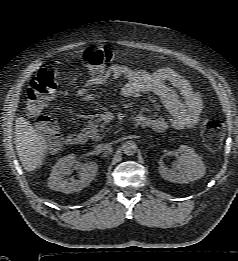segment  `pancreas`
Returning a JSON list of instances; mask_svg holds the SVG:
<instances>
[{
  "mask_svg": "<svg viewBox=\"0 0 238 261\" xmlns=\"http://www.w3.org/2000/svg\"><path fill=\"white\" fill-rule=\"evenodd\" d=\"M105 127L106 123L102 122L100 118H96L88 121L83 132H85L90 139L99 141L102 139L104 132H107L105 131Z\"/></svg>",
  "mask_w": 238,
  "mask_h": 261,
  "instance_id": "1",
  "label": "pancreas"
}]
</instances>
